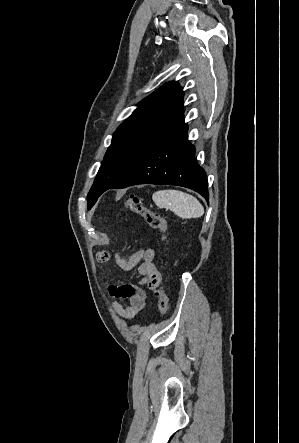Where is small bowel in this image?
I'll return each instance as SVG.
<instances>
[{
    "instance_id": "small-bowel-1",
    "label": "small bowel",
    "mask_w": 299,
    "mask_h": 443,
    "mask_svg": "<svg viewBox=\"0 0 299 443\" xmlns=\"http://www.w3.org/2000/svg\"><path fill=\"white\" fill-rule=\"evenodd\" d=\"M155 252L151 248L141 249L133 253L128 258H124L119 253L111 255L107 251L97 253V261L104 263L110 258L118 268L123 271H130L137 267L141 276L137 284H109L108 293L115 300L112 306L115 312L125 320H132L144 308L146 303L145 287L154 288L161 282V274L154 264ZM118 300H124L121 304Z\"/></svg>"
}]
</instances>
